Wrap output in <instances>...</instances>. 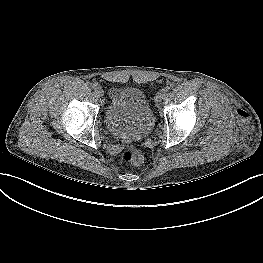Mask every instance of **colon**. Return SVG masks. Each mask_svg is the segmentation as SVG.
<instances>
[{"label": "colon", "instance_id": "colon-1", "mask_svg": "<svg viewBox=\"0 0 263 263\" xmlns=\"http://www.w3.org/2000/svg\"><path fill=\"white\" fill-rule=\"evenodd\" d=\"M122 157L134 165H140L143 162V155L140 150L135 148H127L123 151Z\"/></svg>", "mask_w": 263, "mask_h": 263}]
</instances>
